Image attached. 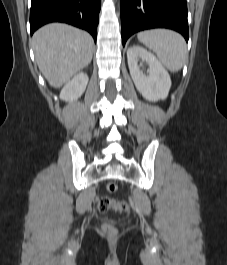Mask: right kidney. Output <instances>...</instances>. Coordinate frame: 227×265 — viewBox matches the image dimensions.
Instances as JSON below:
<instances>
[{
  "label": "right kidney",
  "instance_id": "obj_1",
  "mask_svg": "<svg viewBox=\"0 0 227 265\" xmlns=\"http://www.w3.org/2000/svg\"><path fill=\"white\" fill-rule=\"evenodd\" d=\"M88 80L86 73L81 72L75 75L61 90L60 99L67 102L77 100L84 93Z\"/></svg>",
  "mask_w": 227,
  "mask_h": 265
}]
</instances>
